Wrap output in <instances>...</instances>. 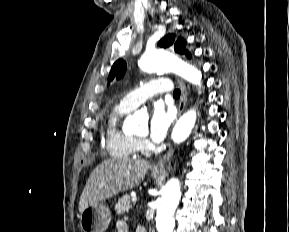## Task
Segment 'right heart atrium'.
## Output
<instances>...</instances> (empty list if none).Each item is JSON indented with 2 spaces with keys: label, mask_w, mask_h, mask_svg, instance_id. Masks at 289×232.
I'll return each mask as SVG.
<instances>
[{
  "label": "right heart atrium",
  "mask_w": 289,
  "mask_h": 232,
  "mask_svg": "<svg viewBox=\"0 0 289 232\" xmlns=\"http://www.w3.org/2000/svg\"><path fill=\"white\" fill-rule=\"evenodd\" d=\"M146 142L145 141H140V147L145 148L146 147Z\"/></svg>",
  "instance_id": "d8ad5b80"
}]
</instances>
